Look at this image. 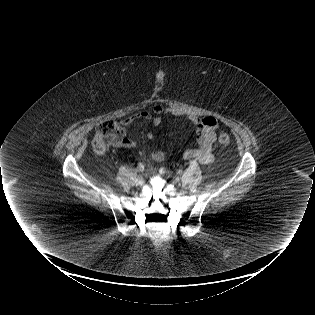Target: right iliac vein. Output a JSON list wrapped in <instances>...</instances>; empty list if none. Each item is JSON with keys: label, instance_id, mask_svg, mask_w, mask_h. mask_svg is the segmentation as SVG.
Returning a JSON list of instances; mask_svg holds the SVG:
<instances>
[{"label": "right iliac vein", "instance_id": "1", "mask_svg": "<svg viewBox=\"0 0 315 315\" xmlns=\"http://www.w3.org/2000/svg\"><path fill=\"white\" fill-rule=\"evenodd\" d=\"M145 180H146V175L145 174H141L137 178V184L142 185V184H144Z\"/></svg>", "mask_w": 315, "mask_h": 315}]
</instances>
